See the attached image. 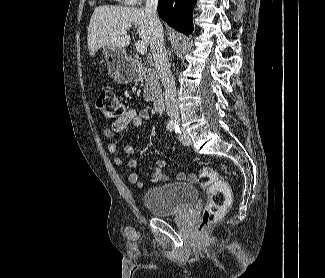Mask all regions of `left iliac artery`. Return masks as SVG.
Listing matches in <instances>:
<instances>
[{
    "label": "left iliac artery",
    "mask_w": 325,
    "mask_h": 278,
    "mask_svg": "<svg viewBox=\"0 0 325 278\" xmlns=\"http://www.w3.org/2000/svg\"><path fill=\"white\" fill-rule=\"evenodd\" d=\"M175 132H176V133H180V134H181V130H180V128H179V126H178V125H176V129H175Z\"/></svg>",
    "instance_id": "left-iliac-artery-1"
}]
</instances>
